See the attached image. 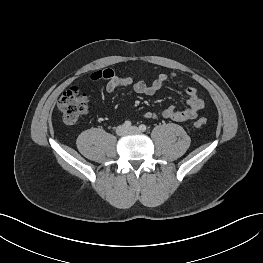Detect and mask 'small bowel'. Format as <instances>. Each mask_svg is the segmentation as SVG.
I'll return each instance as SVG.
<instances>
[{
	"mask_svg": "<svg viewBox=\"0 0 263 263\" xmlns=\"http://www.w3.org/2000/svg\"><path fill=\"white\" fill-rule=\"evenodd\" d=\"M176 78L175 73H161L151 83L138 80L134 81L133 78L128 76H119L112 69L97 70L89 75V80L92 82L99 80H106L105 89L111 93L119 88L132 87L133 90L140 95H154L162 86L170 79ZM187 95V108L179 109L176 106H169L161 112V116L165 119H170L176 122H186L194 119L199 111L204 107V101L199 97L197 89L192 86H188L185 89ZM158 114L153 111H147L144 117L148 120H154L158 118Z\"/></svg>",
	"mask_w": 263,
	"mask_h": 263,
	"instance_id": "small-bowel-1",
	"label": "small bowel"
}]
</instances>
